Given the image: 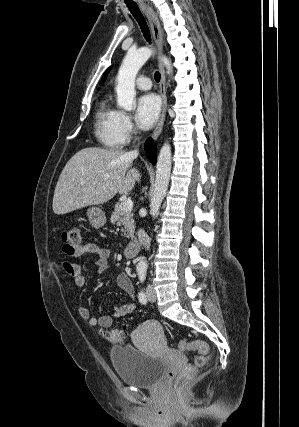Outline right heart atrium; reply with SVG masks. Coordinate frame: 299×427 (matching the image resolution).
Returning <instances> with one entry per match:
<instances>
[{
  "mask_svg": "<svg viewBox=\"0 0 299 427\" xmlns=\"http://www.w3.org/2000/svg\"><path fill=\"white\" fill-rule=\"evenodd\" d=\"M118 128L123 144L127 143L136 134V128L131 117L124 112H120Z\"/></svg>",
  "mask_w": 299,
  "mask_h": 427,
  "instance_id": "d8ad5b80",
  "label": "right heart atrium"
}]
</instances>
